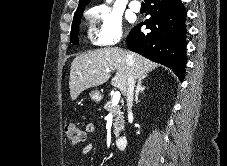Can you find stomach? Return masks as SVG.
<instances>
[{
  "label": "stomach",
  "instance_id": "obj_1",
  "mask_svg": "<svg viewBox=\"0 0 227 166\" xmlns=\"http://www.w3.org/2000/svg\"><path fill=\"white\" fill-rule=\"evenodd\" d=\"M90 98L95 102H100L102 100V95L99 91L95 90L89 93Z\"/></svg>",
  "mask_w": 227,
  "mask_h": 166
}]
</instances>
